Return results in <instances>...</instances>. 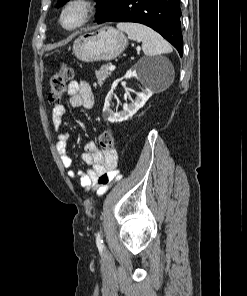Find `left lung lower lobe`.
Wrapping results in <instances>:
<instances>
[{"instance_id": "1", "label": "left lung lower lobe", "mask_w": 247, "mask_h": 296, "mask_svg": "<svg viewBox=\"0 0 247 296\" xmlns=\"http://www.w3.org/2000/svg\"><path fill=\"white\" fill-rule=\"evenodd\" d=\"M180 0H112L97 22H136L160 33L183 53Z\"/></svg>"}]
</instances>
